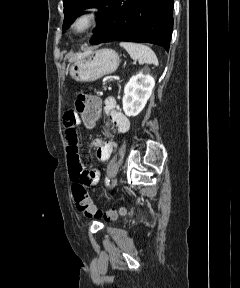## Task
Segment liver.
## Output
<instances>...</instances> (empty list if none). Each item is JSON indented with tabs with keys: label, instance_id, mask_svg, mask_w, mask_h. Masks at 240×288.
Listing matches in <instances>:
<instances>
[{
	"label": "liver",
	"instance_id": "liver-1",
	"mask_svg": "<svg viewBox=\"0 0 240 288\" xmlns=\"http://www.w3.org/2000/svg\"><path fill=\"white\" fill-rule=\"evenodd\" d=\"M83 53H77V54H75L74 56H73V58H75V57H78V56H80V55H82ZM72 58V59H73Z\"/></svg>",
	"mask_w": 240,
	"mask_h": 288
}]
</instances>
